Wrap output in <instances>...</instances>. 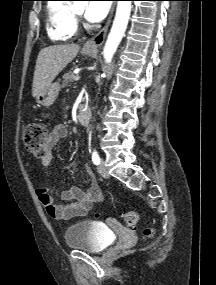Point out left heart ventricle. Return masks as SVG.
Masks as SVG:
<instances>
[{"mask_svg":"<svg viewBox=\"0 0 216 285\" xmlns=\"http://www.w3.org/2000/svg\"><path fill=\"white\" fill-rule=\"evenodd\" d=\"M75 8L81 13L83 11L84 5L83 4H77Z\"/></svg>","mask_w":216,"mask_h":285,"instance_id":"obj_1","label":"left heart ventricle"}]
</instances>
